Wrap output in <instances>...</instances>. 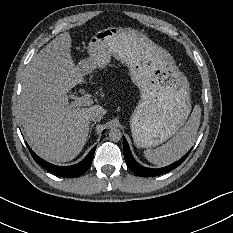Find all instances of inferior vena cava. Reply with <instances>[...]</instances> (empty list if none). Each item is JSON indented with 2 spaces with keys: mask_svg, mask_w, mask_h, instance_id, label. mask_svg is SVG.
<instances>
[{
  "mask_svg": "<svg viewBox=\"0 0 233 233\" xmlns=\"http://www.w3.org/2000/svg\"><path fill=\"white\" fill-rule=\"evenodd\" d=\"M104 116V113L101 108L93 110L89 115L88 119L91 121H100Z\"/></svg>",
  "mask_w": 233,
  "mask_h": 233,
  "instance_id": "inferior-vena-cava-1",
  "label": "inferior vena cava"
}]
</instances>
